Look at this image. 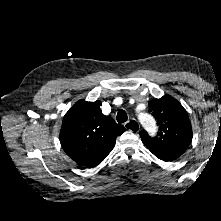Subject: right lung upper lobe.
<instances>
[{"label": "right lung upper lobe", "instance_id": "1", "mask_svg": "<svg viewBox=\"0 0 221 221\" xmlns=\"http://www.w3.org/2000/svg\"><path fill=\"white\" fill-rule=\"evenodd\" d=\"M100 101L79 100L64 116L60 142L77 164L95 167L113 149L117 136L126 129L112 117L103 115Z\"/></svg>", "mask_w": 221, "mask_h": 221}]
</instances>
